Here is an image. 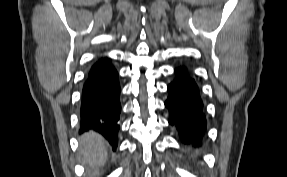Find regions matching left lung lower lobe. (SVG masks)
Masks as SVG:
<instances>
[{
	"instance_id": "obj_1",
	"label": "left lung lower lobe",
	"mask_w": 287,
	"mask_h": 177,
	"mask_svg": "<svg viewBox=\"0 0 287 177\" xmlns=\"http://www.w3.org/2000/svg\"><path fill=\"white\" fill-rule=\"evenodd\" d=\"M176 78L168 85L169 96L165 101L169 124L174 126L183 144H200L206 129V118L199 88L186 67L175 69Z\"/></svg>"
}]
</instances>
